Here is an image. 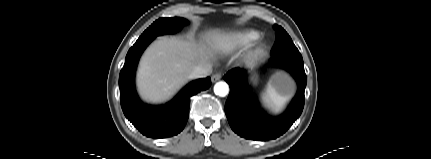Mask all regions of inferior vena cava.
I'll list each match as a JSON object with an SVG mask.
<instances>
[{"label": "inferior vena cava", "mask_w": 431, "mask_h": 159, "mask_svg": "<svg viewBox=\"0 0 431 159\" xmlns=\"http://www.w3.org/2000/svg\"><path fill=\"white\" fill-rule=\"evenodd\" d=\"M212 73L211 64L198 65L196 66L189 75V78L196 79L206 77L207 75Z\"/></svg>", "instance_id": "602c4592"}]
</instances>
